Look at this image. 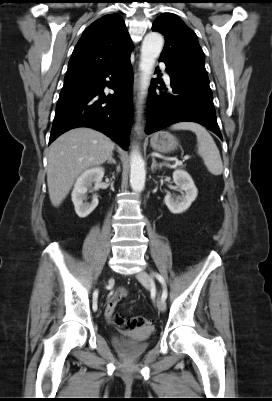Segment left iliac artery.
I'll return each instance as SVG.
<instances>
[{"instance_id":"1","label":"left iliac artery","mask_w":272,"mask_h":401,"mask_svg":"<svg viewBox=\"0 0 272 401\" xmlns=\"http://www.w3.org/2000/svg\"><path fill=\"white\" fill-rule=\"evenodd\" d=\"M153 275L158 279V281L161 283L162 287H163V291H162V300H166L167 298V287H166V282L164 280V278L158 274V273H153Z\"/></svg>"}]
</instances>
